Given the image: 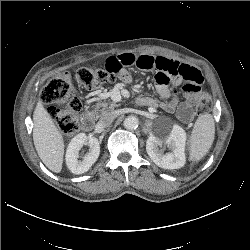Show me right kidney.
Returning a JSON list of instances; mask_svg holds the SVG:
<instances>
[{
    "instance_id": "1",
    "label": "right kidney",
    "mask_w": 250,
    "mask_h": 250,
    "mask_svg": "<svg viewBox=\"0 0 250 250\" xmlns=\"http://www.w3.org/2000/svg\"><path fill=\"white\" fill-rule=\"evenodd\" d=\"M83 145L89 146V152L82 160H79V151ZM100 154L99 141L95 137H88L80 133L71 139L66 151V165L74 174L87 172L90 167L97 161Z\"/></svg>"
}]
</instances>
